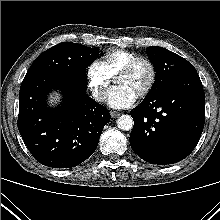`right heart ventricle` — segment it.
<instances>
[{
    "label": "right heart ventricle",
    "instance_id": "obj_1",
    "mask_svg": "<svg viewBox=\"0 0 220 220\" xmlns=\"http://www.w3.org/2000/svg\"><path fill=\"white\" fill-rule=\"evenodd\" d=\"M136 57V53L130 52L128 50L113 49L105 53L103 61L107 66L110 74L115 76L129 61Z\"/></svg>",
    "mask_w": 220,
    "mask_h": 220
}]
</instances>
